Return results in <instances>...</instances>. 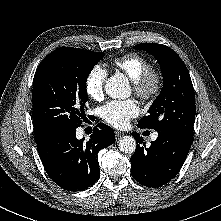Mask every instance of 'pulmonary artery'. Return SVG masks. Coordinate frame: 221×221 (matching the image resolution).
Returning <instances> with one entry per match:
<instances>
[{"mask_svg":"<svg viewBox=\"0 0 221 221\" xmlns=\"http://www.w3.org/2000/svg\"><path fill=\"white\" fill-rule=\"evenodd\" d=\"M157 137H158V133H156V132L153 133L152 136H151V138H152L153 140L157 139Z\"/></svg>","mask_w":221,"mask_h":221,"instance_id":"pulmonary-artery-1","label":"pulmonary artery"}]
</instances>
